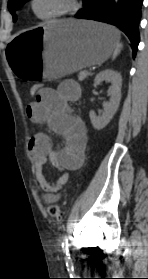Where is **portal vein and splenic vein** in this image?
Here are the masks:
<instances>
[{"mask_svg": "<svg viewBox=\"0 0 148 279\" xmlns=\"http://www.w3.org/2000/svg\"><path fill=\"white\" fill-rule=\"evenodd\" d=\"M87 75H88V72H87V71H84V72H82L81 77L84 78V77H86Z\"/></svg>", "mask_w": 148, "mask_h": 279, "instance_id": "portal-vein-and-splenic-vein-1", "label": "portal vein and splenic vein"}]
</instances>
